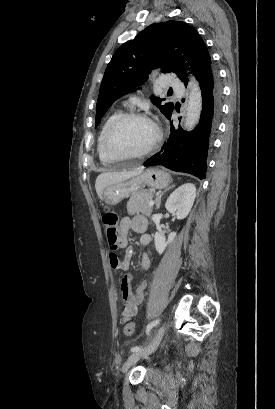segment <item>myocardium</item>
<instances>
[{
	"mask_svg": "<svg viewBox=\"0 0 275 409\" xmlns=\"http://www.w3.org/2000/svg\"><path fill=\"white\" fill-rule=\"evenodd\" d=\"M127 120H141L146 122L151 128H152V136L150 138V140L148 141V143L146 144V146H144L143 148L130 152V153H126L123 155H119V156H113L111 154L108 153V146L110 143V140L112 138V135L114 133V131L116 130V128L123 122L127 121ZM161 137V132L159 127L150 119L148 118L146 115L141 114V113H136V112H128V113H124L119 115L110 125L105 138H104V142H103V154L105 155V157H140L143 155L148 154L149 152H151L154 147L158 144L159 140Z\"/></svg>",
	"mask_w": 275,
	"mask_h": 409,
	"instance_id": "obj_1",
	"label": "myocardium"
}]
</instances>
